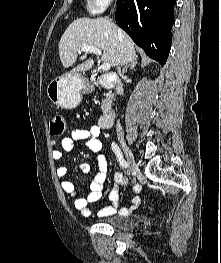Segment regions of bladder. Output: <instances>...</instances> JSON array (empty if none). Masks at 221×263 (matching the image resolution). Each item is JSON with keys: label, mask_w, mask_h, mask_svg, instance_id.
<instances>
[{"label": "bladder", "mask_w": 221, "mask_h": 263, "mask_svg": "<svg viewBox=\"0 0 221 263\" xmlns=\"http://www.w3.org/2000/svg\"><path fill=\"white\" fill-rule=\"evenodd\" d=\"M99 222L119 230H131L136 225L133 218L120 215L106 216L100 219Z\"/></svg>", "instance_id": "bladder-1"}]
</instances>
